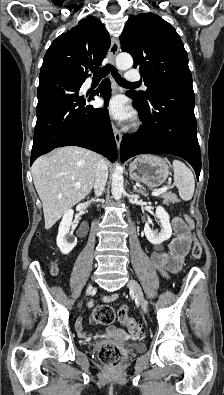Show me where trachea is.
Segmentation results:
<instances>
[{"mask_svg": "<svg viewBox=\"0 0 224 395\" xmlns=\"http://www.w3.org/2000/svg\"><path fill=\"white\" fill-rule=\"evenodd\" d=\"M91 71L94 73V78L102 79L103 77H106L108 75V73L111 71V74L113 75L115 81L119 85H121V86L138 85V83H131V82L126 81L124 78H122L120 76L117 69L110 64H107L103 68L93 67V68H91Z\"/></svg>", "mask_w": 224, "mask_h": 395, "instance_id": "trachea-1", "label": "trachea"}]
</instances>
